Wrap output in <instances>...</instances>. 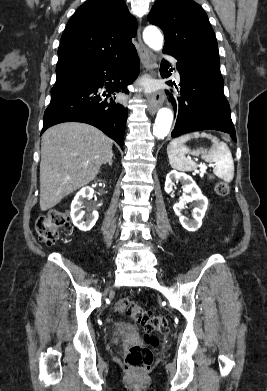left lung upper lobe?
<instances>
[{
    "mask_svg": "<svg viewBox=\"0 0 267 391\" xmlns=\"http://www.w3.org/2000/svg\"><path fill=\"white\" fill-rule=\"evenodd\" d=\"M148 21L165 35L164 49L220 69L218 45L203 8L192 0H156Z\"/></svg>",
    "mask_w": 267,
    "mask_h": 391,
    "instance_id": "1",
    "label": "left lung upper lobe"
}]
</instances>
